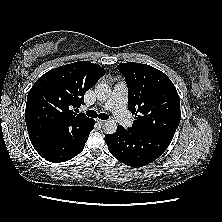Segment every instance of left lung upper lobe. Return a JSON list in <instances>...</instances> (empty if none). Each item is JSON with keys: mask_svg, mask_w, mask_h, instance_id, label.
<instances>
[{"mask_svg": "<svg viewBox=\"0 0 222 222\" xmlns=\"http://www.w3.org/2000/svg\"><path fill=\"white\" fill-rule=\"evenodd\" d=\"M118 70L128 86V106L135 115L128 130L174 136L179 125L180 98L171 80L147 64L128 62Z\"/></svg>", "mask_w": 222, "mask_h": 222, "instance_id": "1", "label": "left lung upper lobe"}]
</instances>
